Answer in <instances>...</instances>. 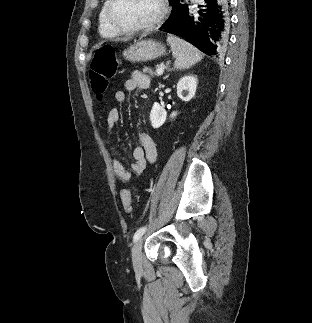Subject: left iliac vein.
<instances>
[{"label":"left iliac vein","instance_id":"4c4485c4","mask_svg":"<svg viewBox=\"0 0 312 323\" xmlns=\"http://www.w3.org/2000/svg\"><path fill=\"white\" fill-rule=\"evenodd\" d=\"M132 262L135 270L142 269V239H139L133 247Z\"/></svg>","mask_w":312,"mask_h":323}]
</instances>
